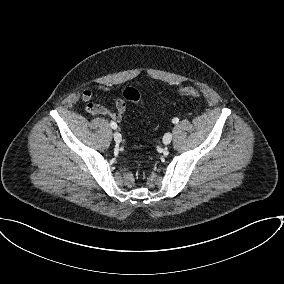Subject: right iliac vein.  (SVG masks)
Wrapping results in <instances>:
<instances>
[{"label":"right iliac vein","mask_w":284,"mask_h":284,"mask_svg":"<svg viewBox=\"0 0 284 284\" xmlns=\"http://www.w3.org/2000/svg\"><path fill=\"white\" fill-rule=\"evenodd\" d=\"M114 140L116 143H120L122 141V136L119 132H114L113 134Z\"/></svg>","instance_id":"right-iliac-vein-1"}]
</instances>
